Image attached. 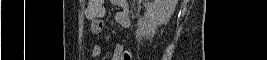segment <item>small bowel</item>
I'll return each instance as SVG.
<instances>
[{"label": "small bowel", "instance_id": "c3829d8e", "mask_svg": "<svg viewBox=\"0 0 267 60\" xmlns=\"http://www.w3.org/2000/svg\"><path fill=\"white\" fill-rule=\"evenodd\" d=\"M114 4L120 6L123 11L119 12L115 16L117 24L122 28H128L131 24L130 14L128 11L127 2L125 0H114ZM90 5L86 9V15L90 19V32L94 35L100 34L104 29L103 21L101 16L104 14V7L99 15L93 17L90 11ZM102 53V48L99 43L94 44L92 47L91 55L93 59L99 58ZM132 55L129 51H125L124 47L121 44L115 46L112 54V60H130Z\"/></svg>", "mask_w": 267, "mask_h": 60}]
</instances>
